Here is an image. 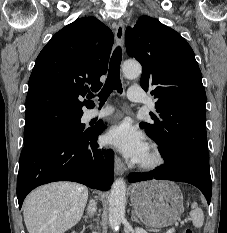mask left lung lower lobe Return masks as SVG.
Wrapping results in <instances>:
<instances>
[{"instance_id": "0a47b994", "label": "left lung lower lobe", "mask_w": 227, "mask_h": 233, "mask_svg": "<svg viewBox=\"0 0 227 233\" xmlns=\"http://www.w3.org/2000/svg\"><path fill=\"white\" fill-rule=\"evenodd\" d=\"M128 179L129 182L152 179L186 182L200 189L208 204L211 200L212 181L208 158L189 149L179 150L168 160L164 159V165L151 173H130Z\"/></svg>"}]
</instances>
